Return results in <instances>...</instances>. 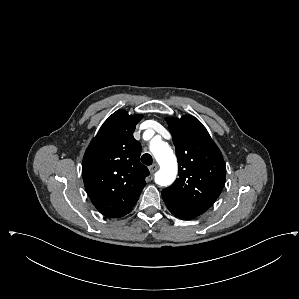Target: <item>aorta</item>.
<instances>
[{"mask_svg":"<svg viewBox=\"0 0 299 299\" xmlns=\"http://www.w3.org/2000/svg\"><path fill=\"white\" fill-rule=\"evenodd\" d=\"M150 150L160 165V169L155 173V182L161 186L172 184L178 171L176 156L172 149L161 140H153Z\"/></svg>","mask_w":299,"mask_h":299,"instance_id":"obj_1","label":"aorta"}]
</instances>
